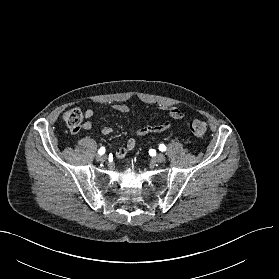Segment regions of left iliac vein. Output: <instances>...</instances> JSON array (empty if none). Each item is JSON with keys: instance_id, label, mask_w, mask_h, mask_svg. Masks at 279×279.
Wrapping results in <instances>:
<instances>
[{"instance_id": "4c4485c4", "label": "left iliac vein", "mask_w": 279, "mask_h": 279, "mask_svg": "<svg viewBox=\"0 0 279 279\" xmlns=\"http://www.w3.org/2000/svg\"><path fill=\"white\" fill-rule=\"evenodd\" d=\"M154 160H155L156 162H158V163H162V162H164V161L166 160V157H165L164 154L159 153V154H157V155L154 157Z\"/></svg>"}]
</instances>
